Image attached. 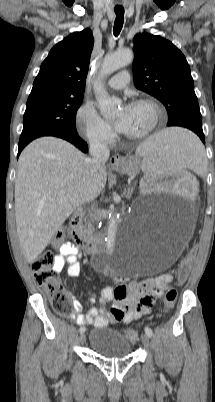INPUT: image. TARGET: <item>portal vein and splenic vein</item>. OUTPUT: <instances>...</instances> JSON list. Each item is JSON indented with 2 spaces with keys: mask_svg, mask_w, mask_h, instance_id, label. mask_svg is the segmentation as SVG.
Instances as JSON below:
<instances>
[{
  "mask_svg": "<svg viewBox=\"0 0 215 402\" xmlns=\"http://www.w3.org/2000/svg\"><path fill=\"white\" fill-rule=\"evenodd\" d=\"M63 196V192H61L60 196L58 197V200H60Z\"/></svg>",
  "mask_w": 215,
  "mask_h": 402,
  "instance_id": "1",
  "label": "portal vein and splenic vein"
}]
</instances>
